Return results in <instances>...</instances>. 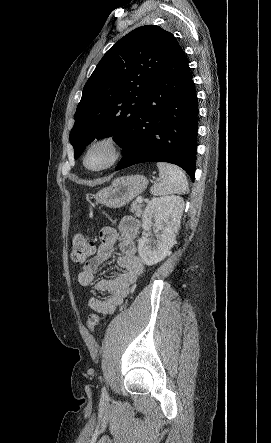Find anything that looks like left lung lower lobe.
<instances>
[{"label": "left lung lower lobe", "instance_id": "1", "mask_svg": "<svg viewBox=\"0 0 271 443\" xmlns=\"http://www.w3.org/2000/svg\"><path fill=\"white\" fill-rule=\"evenodd\" d=\"M146 93L144 112L116 170L143 162H168L183 168L194 180L198 106L180 46L156 73Z\"/></svg>", "mask_w": 271, "mask_h": 443}]
</instances>
